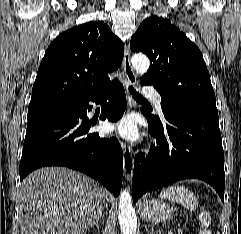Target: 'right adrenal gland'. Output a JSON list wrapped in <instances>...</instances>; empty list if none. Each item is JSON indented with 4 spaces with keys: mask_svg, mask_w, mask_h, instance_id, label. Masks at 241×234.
<instances>
[{
    "mask_svg": "<svg viewBox=\"0 0 241 234\" xmlns=\"http://www.w3.org/2000/svg\"><path fill=\"white\" fill-rule=\"evenodd\" d=\"M101 217H102V212H100V213L94 218V221H93V223L90 224L89 228H92V227H94V226H95L96 228H98V227H99V221H100Z\"/></svg>",
    "mask_w": 241,
    "mask_h": 234,
    "instance_id": "1",
    "label": "right adrenal gland"
}]
</instances>
